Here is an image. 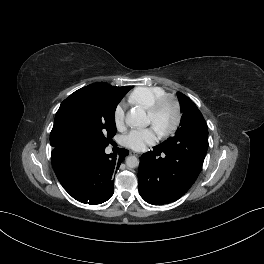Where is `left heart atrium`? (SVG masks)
<instances>
[{
    "label": "left heart atrium",
    "mask_w": 264,
    "mask_h": 264,
    "mask_svg": "<svg viewBox=\"0 0 264 264\" xmlns=\"http://www.w3.org/2000/svg\"><path fill=\"white\" fill-rule=\"evenodd\" d=\"M157 138L158 131L154 127L134 129L124 137V144L133 150L141 151L154 144Z\"/></svg>",
    "instance_id": "obj_1"
}]
</instances>
